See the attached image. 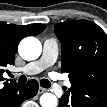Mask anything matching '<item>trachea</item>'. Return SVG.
<instances>
[{"label": "trachea", "instance_id": "trachea-1", "mask_svg": "<svg viewBox=\"0 0 107 107\" xmlns=\"http://www.w3.org/2000/svg\"><path fill=\"white\" fill-rule=\"evenodd\" d=\"M18 81H19V83L24 84L26 82V77L25 76H20ZM40 85L44 88H49L51 86V83L47 79H42L40 81Z\"/></svg>", "mask_w": 107, "mask_h": 107}]
</instances>
